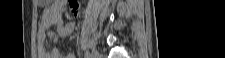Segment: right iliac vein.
I'll list each match as a JSON object with an SVG mask.
<instances>
[{"label":"right iliac vein","mask_w":225,"mask_h":58,"mask_svg":"<svg viewBox=\"0 0 225 58\" xmlns=\"http://www.w3.org/2000/svg\"><path fill=\"white\" fill-rule=\"evenodd\" d=\"M90 58H98V52L96 50H93L90 55Z\"/></svg>","instance_id":"right-iliac-vein-1"}]
</instances>
